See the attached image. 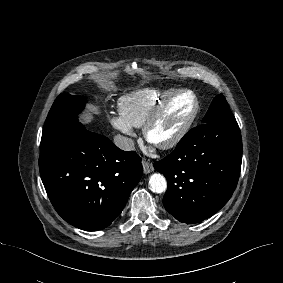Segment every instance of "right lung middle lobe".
I'll return each instance as SVG.
<instances>
[{"label":"right lung middle lobe","instance_id":"right-lung-middle-lobe-1","mask_svg":"<svg viewBox=\"0 0 283 283\" xmlns=\"http://www.w3.org/2000/svg\"><path fill=\"white\" fill-rule=\"evenodd\" d=\"M82 96L60 94L54 101L44 124L40 144L41 155L47 154L77 126V115L84 108Z\"/></svg>","mask_w":283,"mask_h":283}]
</instances>
